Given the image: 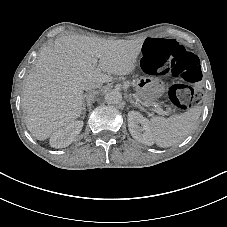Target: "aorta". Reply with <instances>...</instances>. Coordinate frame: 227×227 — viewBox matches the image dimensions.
<instances>
[{
    "instance_id": "762f6f07",
    "label": "aorta",
    "mask_w": 227,
    "mask_h": 227,
    "mask_svg": "<svg viewBox=\"0 0 227 227\" xmlns=\"http://www.w3.org/2000/svg\"><path fill=\"white\" fill-rule=\"evenodd\" d=\"M122 101V94L117 90H111L105 94V102L109 105H116Z\"/></svg>"
}]
</instances>
